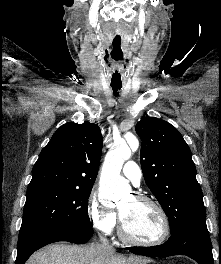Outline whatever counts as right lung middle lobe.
Returning a JSON list of instances; mask_svg holds the SVG:
<instances>
[{"label": "right lung middle lobe", "mask_w": 221, "mask_h": 264, "mask_svg": "<svg viewBox=\"0 0 221 264\" xmlns=\"http://www.w3.org/2000/svg\"><path fill=\"white\" fill-rule=\"evenodd\" d=\"M91 190L61 186L27 190L19 236L33 231L92 228L87 211Z\"/></svg>", "instance_id": "dd1d6c3e"}]
</instances>
